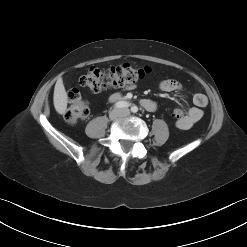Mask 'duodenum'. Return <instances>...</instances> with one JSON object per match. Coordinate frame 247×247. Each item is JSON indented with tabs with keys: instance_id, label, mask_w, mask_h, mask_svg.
Instances as JSON below:
<instances>
[{
	"instance_id": "obj_1",
	"label": "duodenum",
	"mask_w": 247,
	"mask_h": 247,
	"mask_svg": "<svg viewBox=\"0 0 247 247\" xmlns=\"http://www.w3.org/2000/svg\"><path fill=\"white\" fill-rule=\"evenodd\" d=\"M111 99H112V100H121V99H123V96L120 95V94H115V95L112 96Z\"/></svg>"
}]
</instances>
